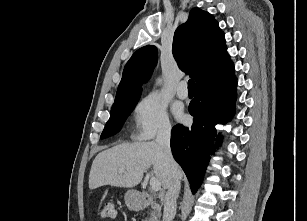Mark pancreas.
<instances>
[{
    "instance_id": "obj_1",
    "label": "pancreas",
    "mask_w": 307,
    "mask_h": 221,
    "mask_svg": "<svg viewBox=\"0 0 307 221\" xmlns=\"http://www.w3.org/2000/svg\"><path fill=\"white\" fill-rule=\"evenodd\" d=\"M161 216V207L159 204L153 203L151 205V211L144 221H159Z\"/></svg>"
}]
</instances>
